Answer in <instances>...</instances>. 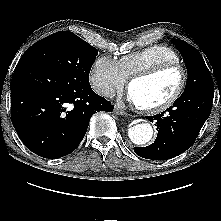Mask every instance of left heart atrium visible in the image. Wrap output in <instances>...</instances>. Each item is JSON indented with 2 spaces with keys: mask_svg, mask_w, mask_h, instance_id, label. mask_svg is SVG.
I'll use <instances>...</instances> for the list:
<instances>
[{
  "mask_svg": "<svg viewBox=\"0 0 221 221\" xmlns=\"http://www.w3.org/2000/svg\"><path fill=\"white\" fill-rule=\"evenodd\" d=\"M127 99L130 102L134 103L135 105L137 104L136 99H135V97H134V95H133V93L131 92L130 89H129L128 93H127Z\"/></svg>",
  "mask_w": 221,
  "mask_h": 221,
  "instance_id": "1",
  "label": "left heart atrium"
}]
</instances>
